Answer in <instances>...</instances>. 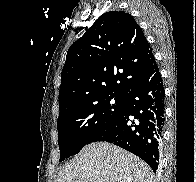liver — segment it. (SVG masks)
I'll use <instances>...</instances> for the list:
<instances>
[{
    "label": "liver",
    "mask_w": 196,
    "mask_h": 182,
    "mask_svg": "<svg viewBox=\"0 0 196 182\" xmlns=\"http://www.w3.org/2000/svg\"><path fill=\"white\" fill-rule=\"evenodd\" d=\"M56 182H153L150 167L106 142L91 143L67 163Z\"/></svg>",
    "instance_id": "1"
}]
</instances>
